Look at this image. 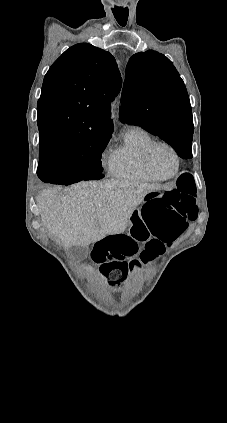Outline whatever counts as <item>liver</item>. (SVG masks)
<instances>
[{
	"label": "liver",
	"mask_w": 227,
	"mask_h": 423,
	"mask_svg": "<svg viewBox=\"0 0 227 423\" xmlns=\"http://www.w3.org/2000/svg\"><path fill=\"white\" fill-rule=\"evenodd\" d=\"M160 188V184L124 180L80 182L64 192L50 188L37 200L41 223L66 249L90 245L109 233H123L132 211L149 192Z\"/></svg>",
	"instance_id": "6515ba94"
}]
</instances>
